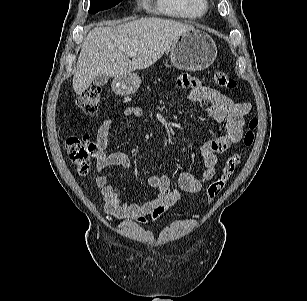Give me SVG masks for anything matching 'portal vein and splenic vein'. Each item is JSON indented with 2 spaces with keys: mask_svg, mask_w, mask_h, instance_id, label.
<instances>
[{
  "mask_svg": "<svg viewBox=\"0 0 307 301\" xmlns=\"http://www.w3.org/2000/svg\"><path fill=\"white\" fill-rule=\"evenodd\" d=\"M136 55H137V53H136V52H134V51L129 52V56H131V57H134V56H136Z\"/></svg>",
  "mask_w": 307,
  "mask_h": 301,
  "instance_id": "portal-vein-and-splenic-vein-1",
  "label": "portal vein and splenic vein"
}]
</instances>
